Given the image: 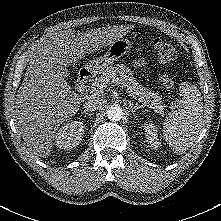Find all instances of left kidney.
<instances>
[{"label": "left kidney", "instance_id": "5707ae66", "mask_svg": "<svg viewBox=\"0 0 221 221\" xmlns=\"http://www.w3.org/2000/svg\"><path fill=\"white\" fill-rule=\"evenodd\" d=\"M143 129L145 131L146 141L148 142V144H150V146L154 149L159 148L161 143L159 142L157 136L156 126L152 123H145L143 125Z\"/></svg>", "mask_w": 221, "mask_h": 221}]
</instances>
